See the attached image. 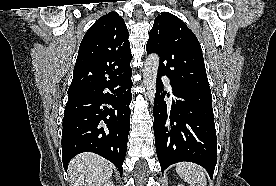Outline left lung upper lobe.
I'll return each instance as SVG.
<instances>
[{
	"mask_svg": "<svg viewBox=\"0 0 276 186\" xmlns=\"http://www.w3.org/2000/svg\"><path fill=\"white\" fill-rule=\"evenodd\" d=\"M146 50L159 55L158 73L166 75L173 85L211 93L200 43L178 17L161 12L155 18Z\"/></svg>",
	"mask_w": 276,
	"mask_h": 186,
	"instance_id": "5c2ea615",
	"label": "left lung upper lobe"
}]
</instances>
